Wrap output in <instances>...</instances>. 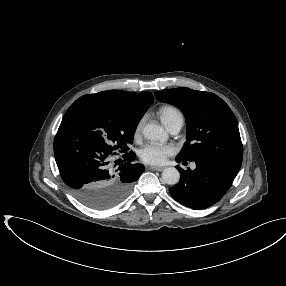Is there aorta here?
I'll list each match as a JSON object with an SVG mask.
<instances>
[{"label": "aorta", "instance_id": "762f6f07", "mask_svg": "<svg viewBox=\"0 0 286 286\" xmlns=\"http://www.w3.org/2000/svg\"><path fill=\"white\" fill-rule=\"evenodd\" d=\"M143 134L150 140H166L168 137L164 128L157 124H147ZM162 179L168 185H175L180 180V173L175 167H167L162 172Z\"/></svg>", "mask_w": 286, "mask_h": 286}]
</instances>
